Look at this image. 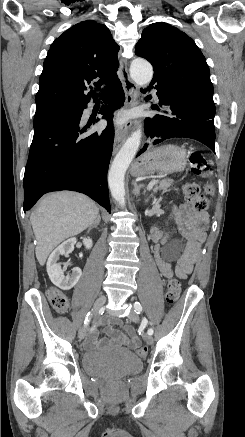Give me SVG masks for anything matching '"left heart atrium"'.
Here are the masks:
<instances>
[{
	"mask_svg": "<svg viewBox=\"0 0 245 437\" xmlns=\"http://www.w3.org/2000/svg\"><path fill=\"white\" fill-rule=\"evenodd\" d=\"M125 121H126V117L124 115H118L114 120V124L120 128L121 126L124 125Z\"/></svg>",
	"mask_w": 245,
	"mask_h": 437,
	"instance_id": "left-heart-atrium-1",
	"label": "left heart atrium"
}]
</instances>
